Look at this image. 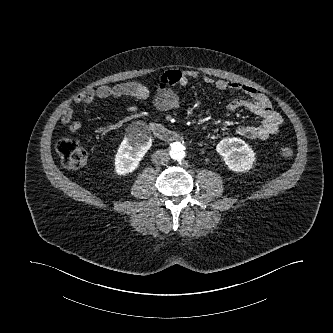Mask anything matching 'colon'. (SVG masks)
<instances>
[{
  "label": "colon",
  "mask_w": 333,
  "mask_h": 333,
  "mask_svg": "<svg viewBox=\"0 0 333 333\" xmlns=\"http://www.w3.org/2000/svg\"><path fill=\"white\" fill-rule=\"evenodd\" d=\"M56 151L60 157L61 165L67 170L81 168L88 161L87 151L72 139L60 140L56 145ZM280 155L283 158H290L293 155V150L283 146L280 149Z\"/></svg>",
  "instance_id": "colon-1"
}]
</instances>
